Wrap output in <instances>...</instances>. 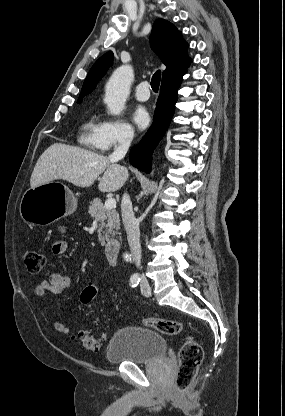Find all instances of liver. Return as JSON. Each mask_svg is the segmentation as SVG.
Returning <instances> with one entry per match:
<instances>
[{
    "label": "liver",
    "mask_w": 285,
    "mask_h": 416,
    "mask_svg": "<svg viewBox=\"0 0 285 416\" xmlns=\"http://www.w3.org/2000/svg\"><path fill=\"white\" fill-rule=\"evenodd\" d=\"M109 158L83 148L53 144L40 156L30 178L31 188L66 180L78 188H89L100 174V192H117L128 178L124 166L111 164Z\"/></svg>",
    "instance_id": "1"
}]
</instances>
